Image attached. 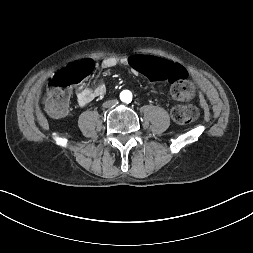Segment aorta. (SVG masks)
I'll use <instances>...</instances> for the list:
<instances>
[{"instance_id":"aorta-1","label":"aorta","mask_w":253,"mask_h":253,"mask_svg":"<svg viewBox=\"0 0 253 253\" xmlns=\"http://www.w3.org/2000/svg\"><path fill=\"white\" fill-rule=\"evenodd\" d=\"M120 99L123 101V102H126V103H129L132 99V94L131 92L125 90L123 92H121L120 94Z\"/></svg>"}]
</instances>
